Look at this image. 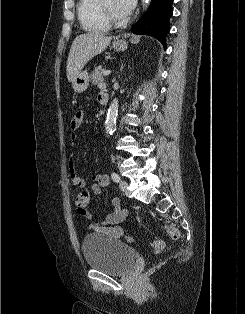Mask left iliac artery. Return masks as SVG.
I'll use <instances>...</instances> for the list:
<instances>
[{
    "instance_id": "1",
    "label": "left iliac artery",
    "mask_w": 245,
    "mask_h": 314,
    "mask_svg": "<svg viewBox=\"0 0 245 314\" xmlns=\"http://www.w3.org/2000/svg\"><path fill=\"white\" fill-rule=\"evenodd\" d=\"M111 178H112L113 181H115L117 183L120 181L119 175L117 173H115V172L111 173Z\"/></svg>"
}]
</instances>
